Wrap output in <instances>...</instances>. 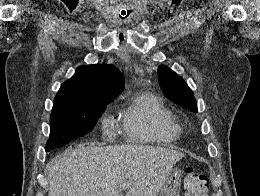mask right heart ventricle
I'll return each mask as SVG.
<instances>
[{"label": "right heart ventricle", "instance_id": "right-heart-ventricle-1", "mask_svg": "<svg viewBox=\"0 0 260 196\" xmlns=\"http://www.w3.org/2000/svg\"><path fill=\"white\" fill-rule=\"evenodd\" d=\"M133 100L122 112V123L135 140L149 145H163L175 141L180 127L174 114L160 101L138 88ZM89 192H120V190H90Z\"/></svg>", "mask_w": 260, "mask_h": 196}]
</instances>
